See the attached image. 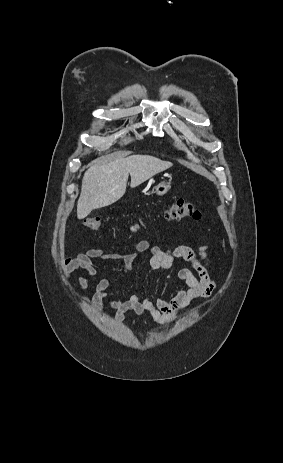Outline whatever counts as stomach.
<instances>
[{"label": "stomach", "instance_id": "0dacf381", "mask_svg": "<svg viewBox=\"0 0 283 463\" xmlns=\"http://www.w3.org/2000/svg\"><path fill=\"white\" fill-rule=\"evenodd\" d=\"M170 187L169 183H160L155 187V193L159 196H163L169 191Z\"/></svg>", "mask_w": 283, "mask_h": 463}]
</instances>
